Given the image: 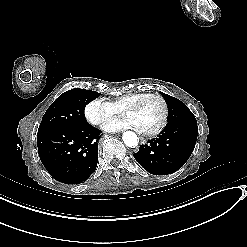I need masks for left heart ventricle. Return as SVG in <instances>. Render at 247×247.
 Instances as JSON below:
<instances>
[{"instance_id":"left-heart-ventricle-1","label":"left heart ventricle","mask_w":247,"mask_h":247,"mask_svg":"<svg viewBox=\"0 0 247 247\" xmlns=\"http://www.w3.org/2000/svg\"><path fill=\"white\" fill-rule=\"evenodd\" d=\"M163 104L157 98L145 99L138 110L129 115L133 117L140 127V130L150 131L157 128L163 118Z\"/></svg>"}]
</instances>
